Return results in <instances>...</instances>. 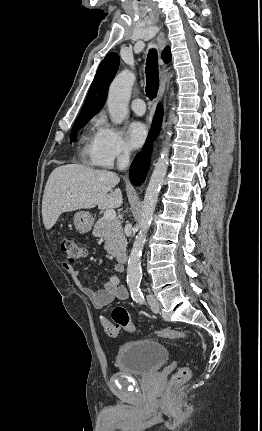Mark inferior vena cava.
Listing matches in <instances>:
<instances>
[{
    "label": "inferior vena cava",
    "mask_w": 262,
    "mask_h": 431,
    "mask_svg": "<svg viewBox=\"0 0 262 431\" xmlns=\"http://www.w3.org/2000/svg\"><path fill=\"white\" fill-rule=\"evenodd\" d=\"M129 165V152L123 149L117 156V167L119 170H124Z\"/></svg>",
    "instance_id": "obj_1"
}]
</instances>
